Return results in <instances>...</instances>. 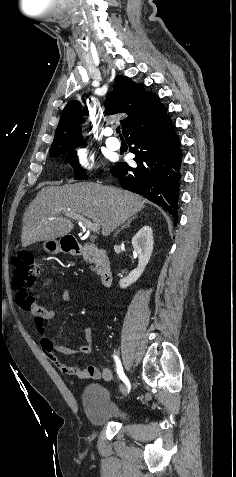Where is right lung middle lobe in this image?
Segmentation results:
<instances>
[{
	"label": "right lung middle lobe",
	"mask_w": 236,
	"mask_h": 477,
	"mask_svg": "<svg viewBox=\"0 0 236 477\" xmlns=\"http://www.w3.org/2000/svg\"><path fill=\"white\" fill-rule=\"evenodd\" d=\"M67 151L68 150H62V149H57V150L50 151V157H57L61 153H64V152H67ZM66 161L69 162V164L74 168L75 179L84 180V179L87 178V176H85L84 173H83L84 170L79 165L78 158L76 156L75 151H71L67 155Z\"/></svg>",
	"instance_id": "1"
}]
</instances>
